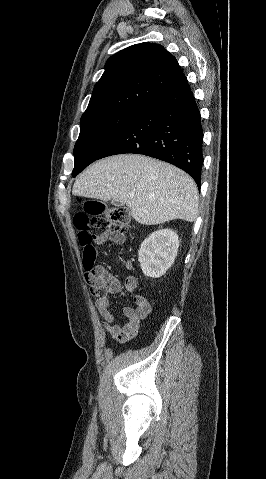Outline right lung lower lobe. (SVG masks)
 <instances>
[{"label":"right lung lower lobe","mask_w":266,"mask_h":479,"mask_svg":"<svg viewBox=\"0 0 266 479\" xmlns=\"http://www.w3.org/2000/svg\"><path fill=\"white\" fill-rule=\"evenodd\" d=\"M202 146L200 112L185 82L144 107L97 159L122 153L151 156L186 171L200 189Z\"/></svg>","instance_id":"obj_1"}]
</instances>
